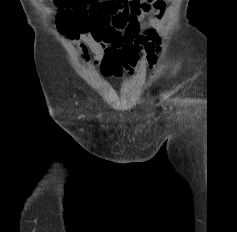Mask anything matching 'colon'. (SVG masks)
Returning a JSON list of instances; mask_svg holds the SVG:
<instances>
[{"mask_svg":"<svg viewBox=\"0 0 237 232\" xmlns=\"http://www.w3.org/2000/svg\"><path fill=\"white\" fill-rule=\"evenodd\" d=\"M58 9L56 24L69 36L101 32L106 22L124 17L146 0H52Z\"/></svg>","mask_w":237,"mask_h":232,"instance_id":"colon-1","label":"colon"}]
</instances>
